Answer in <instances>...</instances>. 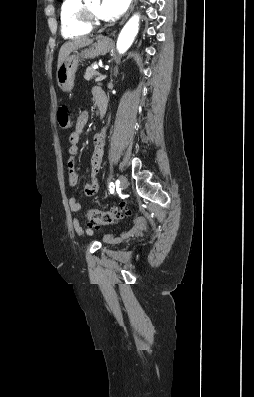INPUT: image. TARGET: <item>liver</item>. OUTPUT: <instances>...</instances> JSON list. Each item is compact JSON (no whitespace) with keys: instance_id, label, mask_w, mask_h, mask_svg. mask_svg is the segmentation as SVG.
Instances as JSON below:
<instances>
[{"instance_id":"6515ba94","label":"liver","mask_w":254,"mask_h":397,"mask_svg":"<svg viewBox=\"0 0 254 397\" xmlns=\"http://www.w3.org/2000/svg\"><path fill=\"white\" fill-rule=\"evenodd\" d=\"M92 42L93 39L91 38L80 37L64 43L59 51L57 68L72 51L90 45Z\"/></svg>"}]
</instances>
